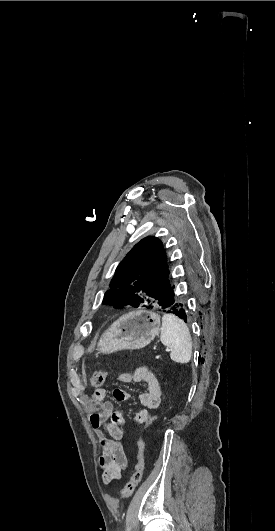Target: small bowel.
Instances as JSON below:
<instances>
[{
	"instance_id": "1",
	"label": "small bowel",
	"mask_w": 275,
	"mask_h": 531,
	"mask_svg": "<svg viewBox=\"0 0 275 531\" xmlns=\"http://www.w3.org/2000/svg\"><path fill=\"white\" fill-rule=\"evenodd\" d=\"M117 381L123 384H143L146 390L138 396L144 408L136 413L130 425L126 423L122 413L115 410L114 404L106 400L105 388H98L93 393L92 402L95 410L90 413L89 422L100 443L99 464L103 470V480L107 483L119 480L123 471L128 467V458L119 440L122 439L127 429L142 425L144 418H149L152 422L149 410L158 409L162 398L160 380L146 366L138 367L133 373H120ZM131 398V393L126 392L122 400L128 401ZM106 432L110 438L106 437Z\"/></svg>"
}]
</instances>
